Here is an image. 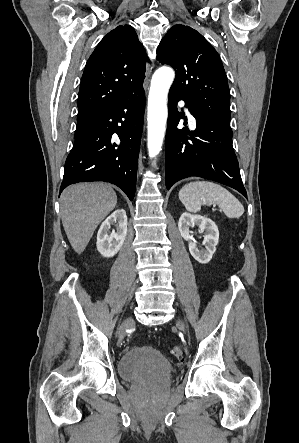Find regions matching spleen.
<instances>
[{
    "label": "spleen",
    "mask_w": 299,
    "mask_h": 443,
    "mask_svg": "<svg viewBox=\"0 0 299 443\" xmlns=\"http://www.w3.org/2000/svg\"><path fill=\"white\" fill-rule=\"evenodd\" d=\"M179 199L189 212L197 213L202 205H218L228 218H239L244 213L241 202L227 189L209 181H196L184 185Z\"/></svg>",
    "instance_id": "obj_1"
}]
</instances>
